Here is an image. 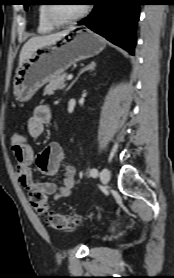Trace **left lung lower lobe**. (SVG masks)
<instances>
[{
    "instance_id": "obj_1",
    "label": "left lung lower lobe",
    "mask_w": 174,
    "mask_h": 278,
    "mask_svg": "<svg viewBox=\"0 0 174 278\" xmlns=\"http://www.w3.org/2000/svg\"><path fill=\"white\" fill-rule=\"evenodd\" d=\"M94 9L78 24L134 53L141 0H93Z\"/></svg>"
}]
</instances>
